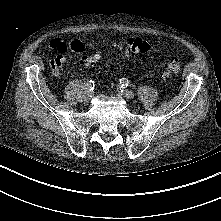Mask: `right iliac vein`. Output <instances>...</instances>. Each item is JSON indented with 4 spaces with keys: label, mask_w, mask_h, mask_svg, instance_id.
<instances>
[{
    "label": "right iliac vein",
    "mask_w": 221,
    "mask_h": 221,
    "mask_svg": "<svg viewBox=\"0 0 221 221\" xmlns=\"http://www.w3.org/2000/svg\"><path fill=\"white\" fill-rule=\"evenodd\" d=\"M91 97H92V93L89 90L85 91L84 100L89 101Z\"/></svg>",
    "instance_id": "obj_1"
}]
</instances>
